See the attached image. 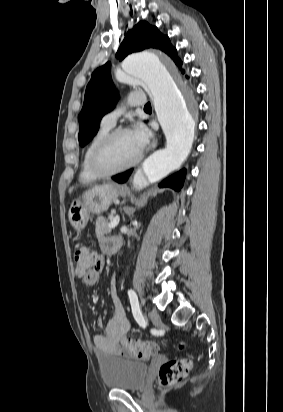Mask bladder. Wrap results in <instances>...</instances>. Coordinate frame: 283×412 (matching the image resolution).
<instances>
[{
    "label": "bladder",
    "instance_id": "obj_1",
    "mask_svg": "<svg viewBox=\"0 0 283 412\" xmlns=\"http://www.w3.org/2000/svg\"><path fill=\"white\" fill-rule=\"evenodd\" d=\"M149 365L143 361L106 357L100 360V375L107 388L139 391L147 382Z\"/></svg>",
    "mask_w": 283,
    "mask_h": 412
}]
</instances>
